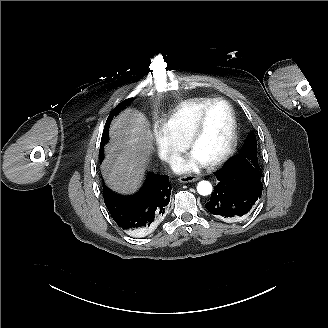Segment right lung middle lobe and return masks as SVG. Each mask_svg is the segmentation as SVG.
Returning a JSON list of instances; mask_svg holds the SVG:
<instances>
[{"mask_svg":"<svg viewBox=\"0 0 328 328\" xmlns=\"http://www.w3.org/2000/svg\"><path fill=\"white\" fill-rule=\"evenodd\" d=\"M133 101V98H129L124 100L123 102H121L120 104H118L114 110L111 112V114L109 115V117L107 118L105 127H104V131L102 134V138H101V144H100V151H99V157L101 160H103L104 157V153H103V148L104 145L107 143L108 141V133H109V126L110 123L113 119L114 116H116L121 110L125 109L126 106H128L131 102Z\"/></svg>","mask_w":328,"mask_h":328,"instance_id":"dd1d6c3e","label":"right lung middle lobe"}]
</instances>
